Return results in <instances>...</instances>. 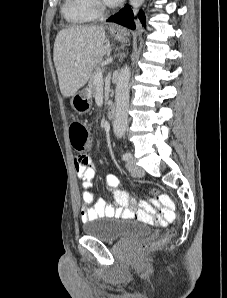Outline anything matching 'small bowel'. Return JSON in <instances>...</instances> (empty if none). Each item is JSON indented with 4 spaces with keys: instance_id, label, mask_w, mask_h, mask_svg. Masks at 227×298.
I'll return each instance as SVG.
<instances>
[{
    "instance_id": "1",
    "label": "small bowel",
    "mask_w": 227,
    "mask_h": 298,
    "mask_svg": "<svg viewBox=\"0 0 227 298\" xmlns=\"http://www.w3.org/2000/svg\"><path fill=\"white\" fill-rule=\"evenodd\" d=\"M75 172L82 182L83 204L80 211L81 220L83 222L92 221L102 217H117V218H132L138 217L154 221L150 216L153 207L147 202H143L140 209L134 210V202L130 195L121 188L118 178L113 174H108L105 177L106 187L112 192L113 203L108 204L105 200L96 197L91 191L92 180L96 175V168L90 157L87 156V150H76L74 158ZM160 224L168 222L164 217L158 220Z\"/></svg>"
}]
</instances>
